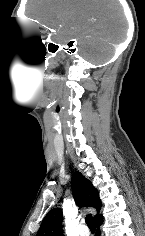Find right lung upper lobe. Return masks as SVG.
I'll list each match as a JSON object with an SVG mask.
<instances>
[{
    "label": "right lung upper lobe",
    "instance_id": "obj_1",
    "mask_svg": "<svg viewBox=\"0 0 145 236\" xmlns=\"http://www.w3.org/2000/svg\"><path fill=\"white\" fill-rule=\"evenodd\" d=\"M71 187L75 202L78 206L93 207L97 210L94 221L101 217L99 215L102 202L98 191L92 183L86 179L80 172L73 175ZM62 210L54 208L48 212L42 221L37 236H62Z\"/></svg>",
    "mask_w": 145,
    "mask_h": 236
}]
</instances>
